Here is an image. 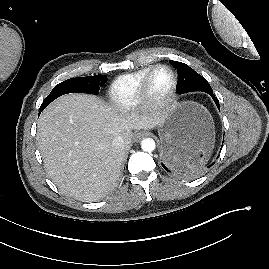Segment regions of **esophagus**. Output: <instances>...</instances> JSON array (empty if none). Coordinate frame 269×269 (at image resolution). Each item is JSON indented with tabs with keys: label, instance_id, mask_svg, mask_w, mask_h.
Returning a JSON list of instances; mask_svg holds the SVG:
<instances>
[{
	"label": "esophagus",
	"instance_id": "esophagus-1",
	"mask_svg": "<svg viewBox=\"0 0 269 269\" xmlns=\"http://www.w3.org/2000/svg\"><path fill=\"white\" fill-rule=\"evenodd\" d=\"M145 136H146L145 132H138L135 134L134 139H135V141L138 142V141L142 140Z\"/></svg>",
	"mask_w": 269,
	"mask_h": 269
}]
</instances>
